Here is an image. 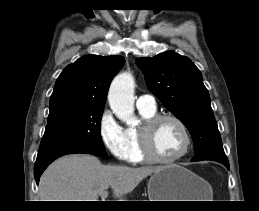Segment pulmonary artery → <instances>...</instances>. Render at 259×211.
<instances>
[{
  "label": "pulmonary artery",
  "instance_id": "e3ab8cb5",
  "mask_svg": "<svg viewBox=\"0 0 259 211\" xmlns=\"http://www.w3.org/2000/svg\"><path fill=\"white\" fill-rule=\"evenodd\" d=\"M136 106L138 109L156 110L155 98L151 95H141L137 98Z\"/></svg>",
  "mask_w": 259,
  "mask_h": 211
}]
</instances>
